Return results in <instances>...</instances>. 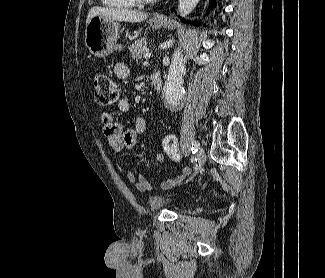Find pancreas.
Returning <instances> with one entry per match:
<instances>
[{
	"label": "pancreas",
	"mask_w": 325,
	"mask_h": 278,
	"mask_svg": "<svg viewBox=\"0 0 325 278\" xmlns=\"http://www.w3.org/2000/svg\"><path fill=\"white\" fill-rule=\"evenodd\" d=\"M147 42L145 38L138 39L132 43L129 47V51L132 54L134 60H140L147 51Z\"/></svg>",
	"instance_id": "1"
}]
</instances>
